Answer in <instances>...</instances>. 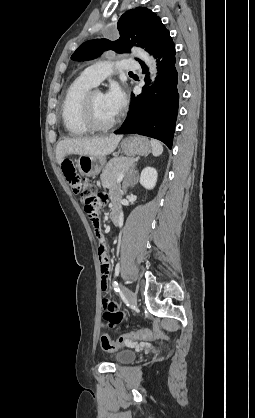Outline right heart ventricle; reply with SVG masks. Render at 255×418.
<instances>
[{"label":"right heart ventricle","mask_w":255,"mask_h":418,"mask_svg":"<svg viewBox=\"0 0 255 418\" xmlns=\"http://www.w3.org/2000/svg\"><path fill=\"white\" fill-rule=\"evenodd\" d=\"M95 85L80 76L68 87L61 106V117L66 132L71 136H83L91 130L82 119V103L85 95Z\"/></svg>","instance_id":"right-heart-ventricle-1"}]
</instances>
